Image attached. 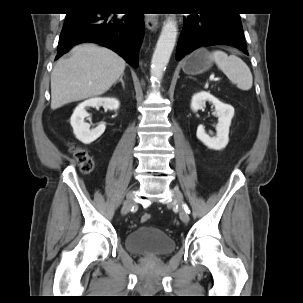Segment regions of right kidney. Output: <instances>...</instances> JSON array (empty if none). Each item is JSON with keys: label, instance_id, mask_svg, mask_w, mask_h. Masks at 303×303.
<instances>
[{"label": "right kidney", "instance_id": "1", "mask_svg": "<svg viewBox=\"0 0 303 303\" xmlns=\"http://www.w3.org/2000/svg\"><path fill=\"white\" fill-rule=\"evenodd\" d=\"M105 106L109 110H118L120 102L116 98H91L80 103L74 110L70 123L76 138L84 144H90L98 139L105 131V123L99 124L96 128L90 129V125L85 122V118L89 116L86 109L88 107Z\"/></svg>", "mask_w": 303, "mask_h": 303}]
</instances>
